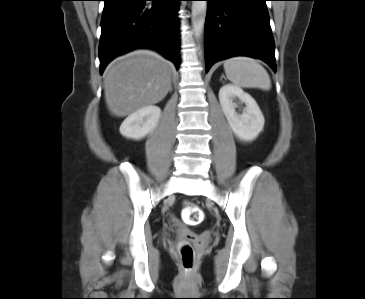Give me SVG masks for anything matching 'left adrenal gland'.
Segmentation results:
<instances>
[{"label":"left adrenal gland","instance_id":"1","mask_svg":"<svg viewBox=\"0 0 365 299\" xmlns=\"http://www.w3.org/2000/svg\"><path fill=\"white\" fill-rule=\"evenodd\" d=\"M223 78L225 79L224 75L221 76L220 81H222Z\"/></svg>","mask_w":365,"mask_h":299}]
</instances>
